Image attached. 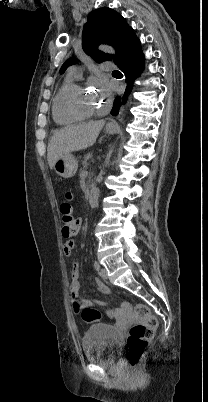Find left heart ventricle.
Returning a JSON list of instances; mask_svg holds the SVG:
<instances>
[{"instance_id":"left-heart-ventricle-1","label":"left heart ventricle","mask_w":208,"mask_h":402,"mask_svg":"<svg viewBox=\"0 0 208 402\" xmlns=\"http://www.w3.org/2000/svg\"><path fill=\"white\" fill-rule=\"evenodd\" d=\"M100 100H101V98L99 96H89V95H86L85 93H83L80 97V103H81L82 107L86 108V109L93 107Z\"/></svg>"}]
</instances>
